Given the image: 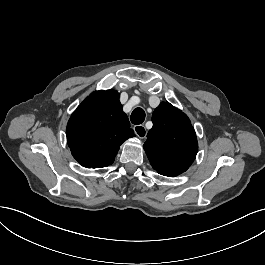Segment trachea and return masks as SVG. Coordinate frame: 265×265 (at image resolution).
I'll return each instance as SVG.
<instances>
[{
	"instance_id": "3493384b",
	"label": "trachea",
	"mask_w": 265,
	"mask_h": 265,
	"mask_svg": "<svg viewBox=\"0 0 265 265\" xmlns=\"http://www.w3.org/2000/svg\"><path fill=\"white\" fill-rule=\"evenodd\" d=\"M145 120V112L142 108H135L131 114V122L135 125L142 124Z\"/></svg>"
}]
</instances>
